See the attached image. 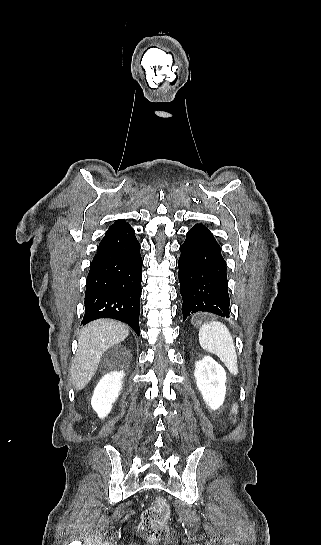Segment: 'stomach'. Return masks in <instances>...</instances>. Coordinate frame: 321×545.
<instances>
[{"label":"stomach","instance_id":"1","mask_svg":"<svg viewBox=\"0 0 321 545\" xmlns=\"http://www.w3.org/2000/svg\"><path fill=\"white\" fill-rule=\"evenodd\" d=\"M199 321H200L199 315H195V317H193V319H192L193 325H197V323H199Z\"/></svg>","mask_w":321,"mask_h":545}]
</instances>
